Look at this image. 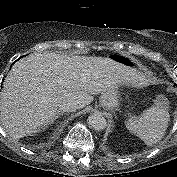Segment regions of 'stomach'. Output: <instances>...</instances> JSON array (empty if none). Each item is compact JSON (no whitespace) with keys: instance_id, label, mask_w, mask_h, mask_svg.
<instances>
[{"instance_id":"1","label":"stomach","mask_w":177,"mask_h":177,"mask_svg":"<svg viewBox=\"0 0 177 177\" xmlns=\"http://www.w3.org/2000/svg\"><path fill=\"white\" fill-rule=\"evenodd\" d=\"M113 58L120 63L129 64V65L133 64L134 62V59L127 55L116 54L113 56ZM119 102H120V94L118 91V87L109 89L101 94L100 103L106 109L109 110L116 109L119 106Z\"/></svg>"}]
</instances>
